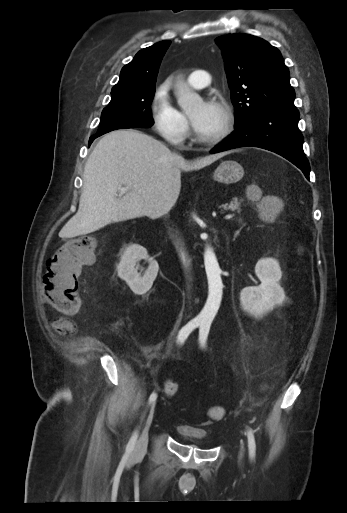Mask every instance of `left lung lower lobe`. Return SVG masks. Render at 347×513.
I'll list each match as a JSON object with an SVG mask.
<instances>
[{"label":"left lung lower lobe","instance_id":"0a47b994","mask_svg":"<svg viewBox=\"0 0 347 513\" xmlns=\"http://www.w3.org/2000/svg\"><path fill=\"white\" fill-rule=\"evenodd\" d=\"M297 109H272L235 125V131L211 153L253 146L275 152L302 170L309 180L310 166L303 151Z\"/></svg>","mask_w":347,"mask_h":513}]
</instances>
